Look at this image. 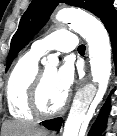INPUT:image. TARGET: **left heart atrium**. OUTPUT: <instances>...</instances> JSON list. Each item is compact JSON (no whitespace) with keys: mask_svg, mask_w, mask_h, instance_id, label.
<instances>
[{"mask_svg":"<svg viewBox=\"0 0 117 136\" xmlns=\"http://www.w3.org/2000/svg\"><path fill=\"white\" fill-rule=\"evenodd\" d=\"M75 82V68L71 61L66 60L56 71V84L67 95Z\"/></svg>","mask_w":117,"mask_h":136,"instance_id":"1","label":"left heart atrium"}]
</instances>
